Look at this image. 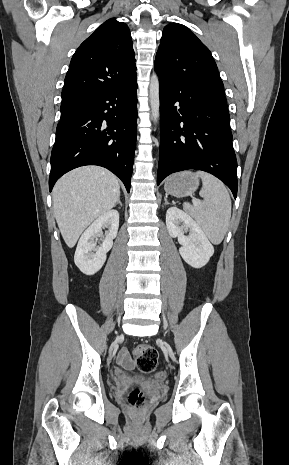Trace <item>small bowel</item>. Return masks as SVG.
<instances>
[{
	"mask_svg": "<svg viewBox=\"0 0 289 465\" xmlns=\"http://www.w3.org/2000/svg\"><path fill=\"white\" fill-rule=\"evenodd\" d=\"M117 363L124 369H132L134 361L132 360L127 349H121L117 354Z\"/></svg>",
	"mask_w": 289,
	"mask_h": 465,
	"instance_id": "small-bowel-1",
	"label": "small bowel"
}]
</instances>
